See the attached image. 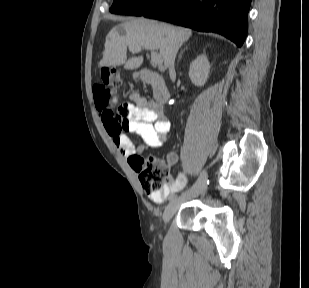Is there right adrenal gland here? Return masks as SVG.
<instances>
[{
	"mask_svg": "<svg viewBox=\"0 0 309 288\" xmlns=\"http://www.w3.org/2000/svg\"><path fill=\"white\" fill-rule=\"evenodd\" d=\"M188 46H186L179 54L178 62L180 61L182 54L184 53L185 50H187Z\"/></svg>",
	"mask_w": 309,
	"mask_h": 288,
	"instance_id": "1",
	"label": "right adrenal gland"
}]
</instances>
